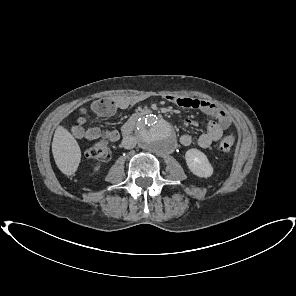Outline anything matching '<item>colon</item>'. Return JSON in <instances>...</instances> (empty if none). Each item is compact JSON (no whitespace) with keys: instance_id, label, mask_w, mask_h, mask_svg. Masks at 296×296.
I'll return each instance as SVG.
<instances>
[{"instance_id":"obj_1","label":"colon","mask_w":296,"mask_h":296,"mask_svg":"<svg viewBox=\"0 0 296 296\" xmlns=\"http://www.w3.org/2000/svg\"><path fill=\"white\" fill-rule=\"evenodd\" d=\"M235 141V135L230 133L219 142L218 149L227 152L235 144ZM86 156L93 160L106 162L111 158V149L106 141L99 140L86 150Z\"/></svg>"}]
</instances>
